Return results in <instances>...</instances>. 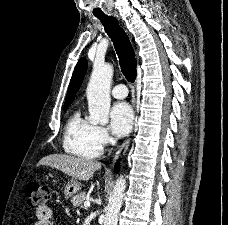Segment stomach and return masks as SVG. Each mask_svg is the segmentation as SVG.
<instances>
[{
    "label": "stomach",
    "instance_id": "1",
    "mask_svg": "<svg viewBox=\"0 0 228 225\" xmlns=\"http://www.w3.org/2000/svg\"><path fill=\"white\" fill-rule=\"evenodd\" d=\"M80 191V183L76 179H70L69 183L64 187V197L65 199H70L73 195H77Z\"/></svg>",
    "mask_w": 228,
    "mask_h": 225
}]
</instances>
